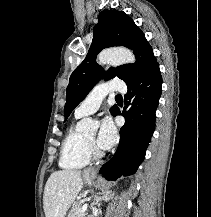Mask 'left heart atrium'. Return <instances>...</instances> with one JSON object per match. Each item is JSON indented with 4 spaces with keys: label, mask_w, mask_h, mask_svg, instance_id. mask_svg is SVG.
Segmentation results:
<instances>
[{
    "label": "left heart atrium",
    "mask_w": 211,
    "mask_h": 217,
    "mask_svg": "<svg viewBox=\"0 0 211 217\" xmlns=\"http://www.w3.org/2000/svg\"><path fill=\"white\" fill-rule=\"evenodd\" d=\"M116 128L109 117H105L100 124L96 138V144L100 149L107 150L113 146L116 140Z\"/></svg>",
    "instance_id": "1"
}]
</instances>
